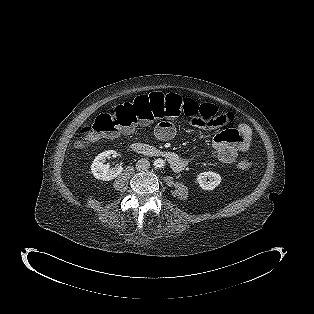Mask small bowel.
Here are the masks:
<instances>
[{
	"label": "small bowel",
	"instance_id": "c3829d8e",
	"mask_svg": "<svg viewBox=\"0 0 314 314\" xmlns=\"http://www.w3.org/2000/svg\"><path fill=\"white\" fill-rule=\"evenodd\" d=\"M234 122L235 117L231 113H216L211 119H196L194 121L196 126L204 130L225 127L213 140V149L218 159L225 164L233 163L239 155L248 152L251 148V129L246 124L229 127ZM154 134L160 140H170L176 135V127L172 121L163 120L154 128Z\"/></svg>",
	"mask_w": 314,
	"mask_h": 314
}]
</instances>
